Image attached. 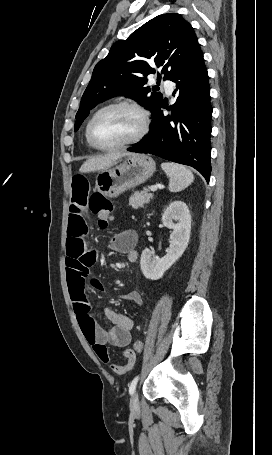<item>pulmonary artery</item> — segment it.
<instances>
[{
	"instance_id": "pulmonary-artery-1",
	"label": "pulmonary artery",
	"mask_w": 272,
	"mask_h": 455,
	"mask_svg": "<svg viewBox=\"0 0 272 455\" xmlns=\"http://www.w3.org/2000/svg\"><path fill=\"white\" fill-rule=\"evenodd\" d=\"M163 86L167 94H170L173 90V83L170 80H164Z\"/></svg>"
}]
</instances>
